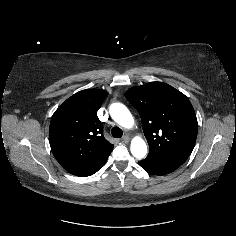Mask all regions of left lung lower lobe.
<instances>
[{"mask_svg":"<svg viewBox=\"0 0 236 236\" xmlns=\"http://www.w3.org/2000/svg\"><path fill=\"white\" fill-rule=\"evenodd\" d=\"M139 164L149 173L154 175H166L176 170L181 165L177 164H160L148 161L146 159L139 161Z\"/></svg>","mask_w":236,"mask_h":236,"instance_id":"1","label":"left lung lower lobe"}]
</instances>
